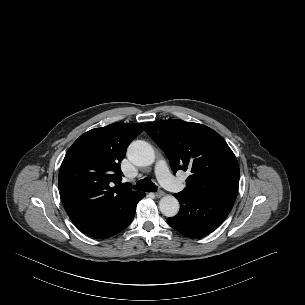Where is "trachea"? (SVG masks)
Masks as SVG:
<instances>
[{
  "mask_svg": "<svg viewBox=\"0 0 305 305\" xmlns=\"http://www.w3.org/2000/svg\"><path fill=\"white\" fill-rule=\"evenodd\" d=\"M133 189L139 191H146V192H156L157 186L150 180V178H144L137 182Z\"/></svg>",
  "mask_w": 305,
  "mask_h": 305,
  "instance_id": "1",
  "label": "trachea"
}]
</instances>
